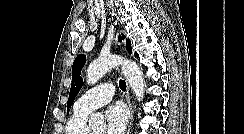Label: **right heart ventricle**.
<instances>
[{
	"label": "right heart ventricle",
	"instance_id": "right-heart-ventricle-1",
	"mask_svg": "<svg viewBox=\"0 0 244 134\" xmlns=\"http://www.w3.org/2000/svg\"><path fill=\"white\" fill-rule=\"evenodd\" d=\"M87 115V112L74 109L66 124L65 134H88Z\"/></svg>",
	"mask_w": 244,
	"mask_h": 134
}]
</instances>
